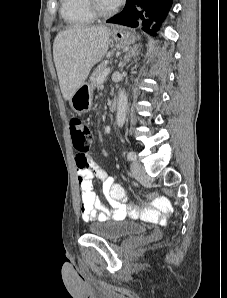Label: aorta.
<instances>
[{"label": "aorta", "mask_w": 227, "mask_h": 298, "mask_svg": "<svg viewBox=\"0 0 227 298\" xmlns=\"http://www.w3.org/2000/svg\"><path fill=\"white\" fill-rule=\"evenodd\" d=\"M127 112V95L124 89H121L118 94L116 124L122 127L125 123Z\"/></svg>", "instance_id": "1"}]
</instances>
